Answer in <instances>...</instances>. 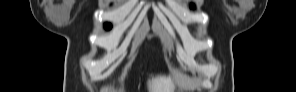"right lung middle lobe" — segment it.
<instances>
[{
    "instance_id": "right-lung-middle-lobe-1",
    "label": "right lung middle lobe",
    "mask_w": 296,
    "mask_h": 92,
    "mask_svg": "<svg viewBox=\"0 0 296 92\" xmlns=\"http://www.w3.org/2000/svg\"><path fill=\"white\" fill-rule=\"evenodd\" d=\"M105 27H106L107 29H110V28H111V24H105Z\"/></svg>"
}]
</instances>
